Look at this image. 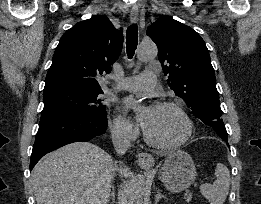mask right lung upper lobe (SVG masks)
<instances>
[{
	"instance_id": "right-lung-upper-lobe-1",
	"label": "right lung upper lobe",
	"mask_w": 261,
	"mask_h": 204,
	"mask_svg": "<svg viewBox=\"0 0 261 204\" xmlns=\"http://www.w3.org/2000/svg\"><path fill=\"white\" fill-rule=\"evenodd\" d=\"M123 46L122 30L105 15L75 24L61 37L48 70L43 94L63 90H101Z\"/></svg>"
}]
</instances>
